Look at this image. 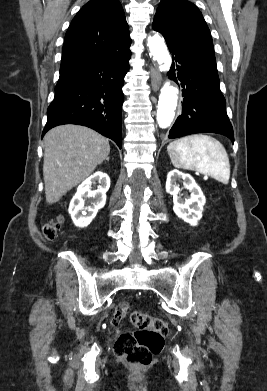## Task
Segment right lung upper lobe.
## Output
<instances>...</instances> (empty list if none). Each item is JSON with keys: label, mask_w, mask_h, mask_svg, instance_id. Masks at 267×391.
I'll list each match as a JSON object with an SVG mask.
<instances>
[{"label": "right lung upper lobe", "mask_w": 267, "mask_h": 391, "mask_svg": "<svg viewBox=\"0 0 267 391\" xmlns=\"http://www.w3.org/2000/svg\"><path fill=\"white\" fill-rule=\"evenodd\" d=\"M128 24L119 0H91L65 35L60 73L130 47Z\"/></svg>", "instance_id": "right-lung-upper-lobe-1"}]
</instances>
